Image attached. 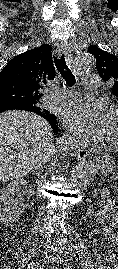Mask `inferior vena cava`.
<instances>
[{
  "label": "inferior vena cava",
  "instance_id": "inferior-vena-cava-1",
  "mask_svg": "<svg viewBox=\"0 0 118 269\" xmlns=\"http://www.w3.org/2000/svg\"><path fill=\"white\" fill-rule=\"evenodd\" d=\"M45 162H47V161H45ZM45 162H44V163H45ZM44 163H43V164H44ZM43 164H41L40 166H42Z\"/></svg>",
  "mask_w": 118,
  "mask_h": 269
}]
</instances>
